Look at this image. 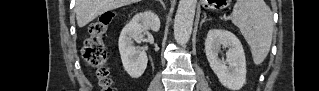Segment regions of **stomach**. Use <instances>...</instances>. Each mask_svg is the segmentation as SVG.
Here are the masks:
<instances>
[{
    "label": "stomach",
    "instance_id": "1",
    "mask_svg": "<svg viewBox=\"0 0 319 91\" xmlns=\"http://www.w3.org/2000/svg\"><path fill=\"white\" fill-rule=\"evenodd\" d=\"M211 3V7L223 9L228 5L227 0H216V1H208Z\"/></svg>",
    "mask_w": 319,
    "mask_h": 91
}]
</instances>
